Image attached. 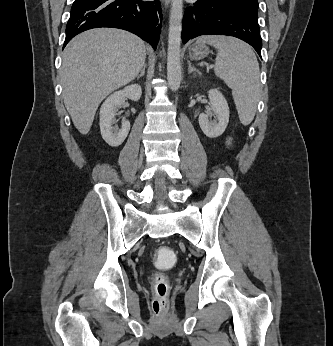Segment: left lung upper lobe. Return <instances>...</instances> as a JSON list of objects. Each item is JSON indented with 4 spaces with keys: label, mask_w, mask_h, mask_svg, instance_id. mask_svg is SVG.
<instances>
[{
    "label": "left lung upper lobe",
    "mask_w": 333,
    "mask_h": 346,
    "mask_svg": "<svg viewBox=\"0 0 333 346\" xmlns=\"http://www.w3.org/2000/svg\"><path fill=\"white\" fill-rule=\"evenodd\" d=\"M234 9H240L249 14L258 17V1L257 0H224Z\"/></svg>",
    "instance_id": "left-lung-upper-lobe-1"
}]
</instances>
